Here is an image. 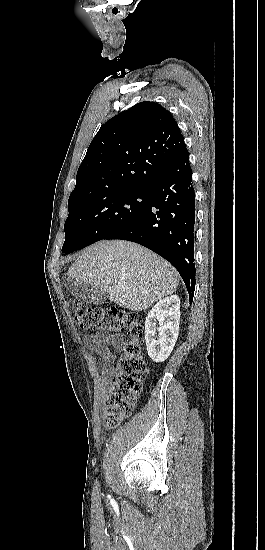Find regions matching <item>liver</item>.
I'll return each instance as SVG.
<instances>
[{
	"instance_id": "liver-1",
	"label": "liver",
	"mask_w": 265,
	"mask_h": 550,
	"mask_svg": "<svg viewBox=\"0 0 265 550\" xmlns=\"http://www.w3.org/2000/svg\"><path fill=\"white\" fill-rule=\"evenodd\" d=\"M67 275L107 292L114 303L132 311L149 308L173 294L179 284V274L170 263L124 240H103L83 249Z\"/></svg>"
}]
</instances>
